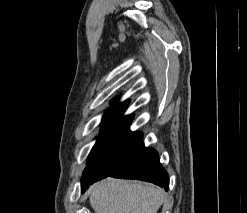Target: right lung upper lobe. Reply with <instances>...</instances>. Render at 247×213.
Returning <instances> with one entry per match:
<instances>
[{"mask_svg": "<svg viewBox=\"0 0 247 213\" xmlns=\"http://www.w3.org/2000/svg\"><path fill=\"white\" fill-rule=\"evenodd\" d=\"M112 104H113V107L110 108L109 110H107L106 114L109 112L117 111V110H126V108L129 105V100L124 101V102L119 103V104H115L113 101Z\"/></svg>", "mask_w": 247, "mask_h": 213, "instance_id": "right-lung-upper-lobe-1", "label": "right lung upper lobe"}]
</instances>
